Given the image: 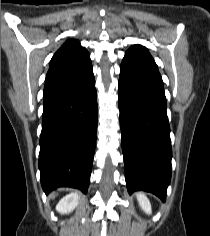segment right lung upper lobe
Here are the masks:
<instances>
[{
  "label": "right lung upper lobe",
  "mask_w": 210,
  "mask_h": 236,
  "mask_svg": "<svg viewBox=\"0 0 210 236\" xmlns=\"http://www.w3.org/2000/svg\"><path fill=\"white\" fill-rule=\"evenodd\" d=\"M91 63L88 51L78 40H67L50 61L46 81L73 72Z\"/></svg>",
  "instance_id": "1"
}]
</instances>
